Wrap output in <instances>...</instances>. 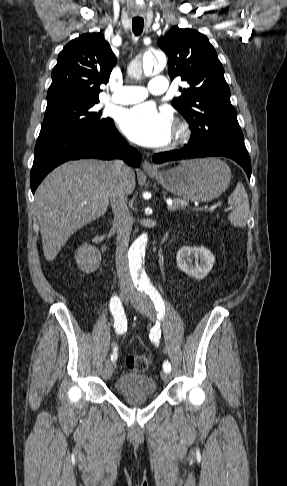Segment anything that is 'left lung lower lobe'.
Returning a JSON list of instances; mask_svg holds the SVG:
<instances>
[{
	"label": "left lung lower lobe",
	"mask_w": 287,
	"mask_h": 486,
	"mask_svg": "<svg viewBox=\"0 0 287 486\" xmlns=\"http://www.w3.org/2000/svg\"><path fill=\"white\" fill-rule=\"evenodd\" d=\"M209 156H224L233 159L245 170L248 178L251 176L250 158L246 148H239L225 144L205 145L199 142L189 143L178 150L166 151L155 154L153 161L160 164L167 161L191 159Z\"/></svg>",
	"instance_id": "left-lung-lower-lobe-1"
}]
</instances>
